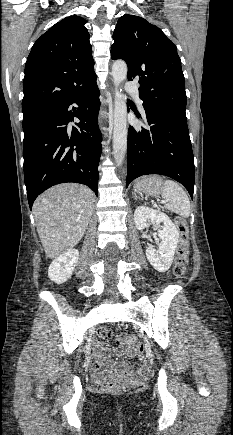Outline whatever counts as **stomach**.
<instances>
[{
  "instance_id": "stomach-1",
  "label": "stomach",
  "mask_w": 233,
  "mask_h": 435,
  "mask_svg": "<svg viewBox=\"0 0 233 435\" xmlns=\"http://www.w3.org/2000/svg\"><path fill=\"white\" fill-rule=\"evenodd\" d=\"M138 192L151 196H157L163 191L162 179L158 176L141 178L135 184Z\"/></svg>"
}]
</instances>
